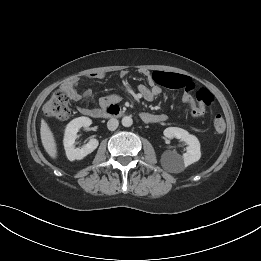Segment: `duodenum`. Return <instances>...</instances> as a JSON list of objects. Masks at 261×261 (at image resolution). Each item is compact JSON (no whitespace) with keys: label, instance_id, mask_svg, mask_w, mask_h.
<instances>
[{"label":"duodenum","instance_id":"obj_1","mask_svg":"<svg viewBox=\"0 0 261 261\" xmlns=\"http://www.w3.org/2000/svg\"><path fill=\"white\" fill-rule=\"evenodd\" d=\"M122 111L119 108L118 105L115 104H109L108 106H106L104 109L102 110H95L93 111L90 116L92 117H104V116H118L121 115ZM142 119L145 122H148V118L145 116H142Z\"/></svg>","mask_w":261,"mask_h":261}]
</instances>
